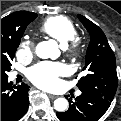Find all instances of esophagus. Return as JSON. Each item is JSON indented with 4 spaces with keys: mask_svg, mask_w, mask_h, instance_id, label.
Wrapping results in <instances>:
<instances>
[{
    "mask_svg": "<svg viewBox=\"0 0 121 121\" xmlns=\"http://www.w3.org/2000/svg\"><path fill=\"white\" fill-rule=\"evenodd\" d=\"M48 97H49L50 99H55V98H57L56 95H52V94H48Z\"/></svg>",
    "mask_w": 121,
    "mask_h": 121,
    "instance_id": "1",
    "label": "esophagus"
}]
</instances>
